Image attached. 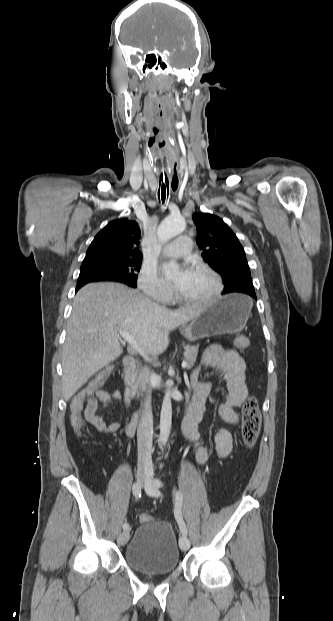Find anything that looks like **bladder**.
Wrapping results in <instances>:
<instances>
[{"instance_id": "bladder-1", "label": "bladder", "mask_w": 333, "mask_h": 621, "mask_svg": "<svg viewBox=\"0 0 333 621\" xmlns=\"http://www.w3.org/2000/svg\"><path fill=\"white\" fill-rule=\"evenodd\" d=\"M127 565L138 572L163 575L174 571L180 559L178 541L169 522L142 523L124 550Z\"/></svg>"}]
</instances>
